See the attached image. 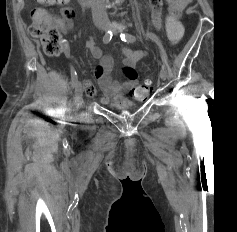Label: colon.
Returning a JSON list of instances; mask_svg holds the SVG:
<instances>
[{"instance_id": "5ec220e1", "label": "colon", "mask_w": 237, "mask_h": 232, "mask_svg": "<svg viewBox=\"0 0 237 232\" xmlns=\"http://www.w3.org/2000/svg\"><path fill=\"white\" fill-rule=\"evenodd\" d=\"M45 6L55 4H66L65 0H36ZM64 17L71 20L75 17L74 9L64 8ZM31 25L29 34L40 41L44 52L49 56H57L64 46L63 37L56 26L54 17L50 12L43 8L37 7L31 12ZM166 32L169 41L177 44L183 36V27L177 18L168 15L166 17ZM147 89L152 88V82L147 81L144 85Z\"/></svg>"}]
</instances>
